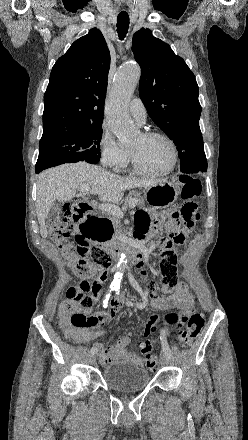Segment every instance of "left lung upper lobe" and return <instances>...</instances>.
Segmentation results:
<instances>
[{
    "mask_svg": "<svg viewBox=\"0 0 248 440\" xmlns=\"http://www.w3.org/2000/svg\"><path fill=\"white\" fill-rule=\"evenodd\" d=\"M132 51L141 66L140 98L152 120L177 146L181 171H206L199 127L201 106L194 74L150 29L142 28L134 34Z\"/></svg>",
    "mask_w": 248,
    "mask_h": 440,
    "instance_id": "5c2ea615",
    "label": "left lung upper lobe"
}]
</instances>
